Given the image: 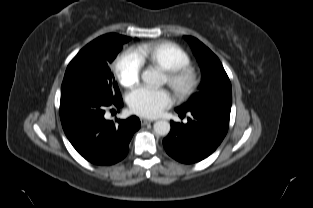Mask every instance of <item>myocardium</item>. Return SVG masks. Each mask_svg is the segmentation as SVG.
Instances as JSON below:
<instances>
[{
    "instance_id": "1",
    "label": "myocardium",
    "mask_w": 313,
    "mask_h": 208,
    "mask_svg": "<svg viewBox=\"0 0 313 208\" xmlns=\"http://www.w3.org/2000/svg\"><path fill=\"white\" fill-rule=\"evenodd\" d=\"M165 76L167 84L180 99L190 97L200 82L198 72L189 65L165 71Z\"/></svg>"
}]
</instances>
